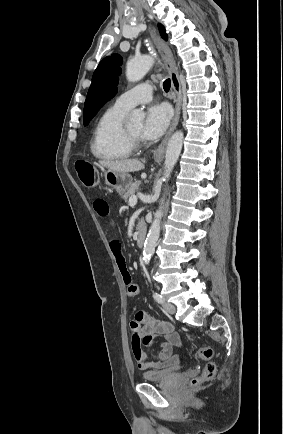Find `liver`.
<instances>
[{"label":"liver","instance_id":"liver-1","mask_svg":"<svg viewBox=\"0 0 283 434\" xmlns=\"http://www.w3.org/2000/svg\"><path fill=\"white\" fill-rule=\"evenodd\" d=\"M102 166L117 172H137L144 168V164L137 159L100 161Z\"/></svg>","mask_w":283,"mask_h":434}]
</instances>
